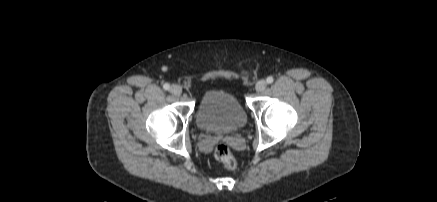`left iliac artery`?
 Returning a JSON list of instances; mask_svg holds the SVG:
<instances>
[{
  "mask_svg": "<svg viewBox=\"0 0 437 202\" xmlns=\"http://www.w3.org/2000/svg\"><path fill=\"white\" fill-rule=\"evenodd\" d=\"M266 81L268 84H271V83H273L274 79L272 76H269V77H267Z\"/></svg>",
  "mask_w": 437,
  "mask_h": 202,
  "instance_id": "1",
  "label": "left iliac artery"
}]
</instances>
